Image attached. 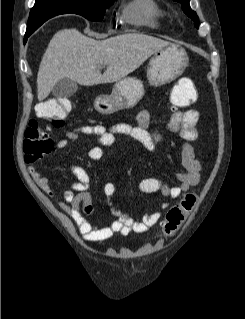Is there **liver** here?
<instances>
[{"mask_svg": "<svg viewBox=\"0 0 245 319\" xmlns=\"http://www.w3.org/2000/svg\"><path fill=\"white\" fill-rule=\"evenodd\" d=\"M169 44L141 33H126L98 41L77 29L60 30L50 40L39 66L38 100L42 102L47 98L62 78L83 86L117 82ZM103 64L107 65V70L101 74L98 66Z\"/></svg>", "mask_w": 245, "mask_h": 319, "instance_id": "6515ba94", "label": "liver"}]
</instances>
